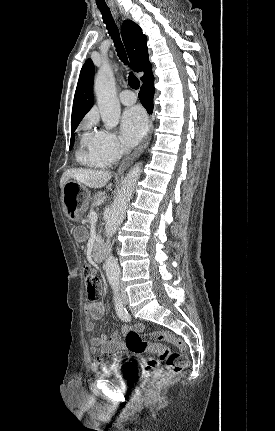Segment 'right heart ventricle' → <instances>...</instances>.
<instances>
[{
    "instance_id": "obj_1",
    "label": "right heart ventricle",
    "mask_w": 275,
    "mask_h": 431,
    "mask_svg": "<svg viewBox=\"0 0 275 431\" xmlns=\"http://www.w3.org/2000/svg\"><path fill=\"white\" fill-rule=\"evenodd\" d=\"M85 138V137H84ZM83 143L85 144V141L83 139ZM78 158L80 161L88 166L95 167V168H101L107 166L109 163L94 157L90 151L84 152L80 151L78 154Z\"/></svg>"
}]
</instances>
